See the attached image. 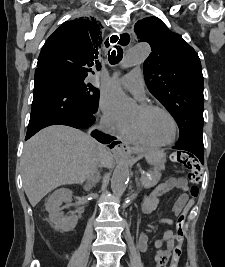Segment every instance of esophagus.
I'll list each match as a JSON object with an SVG mask.
<instances>
[{"instance_id":"obj_1","label":"esophagus","mask_w":225,"mask_h":267,"mask_svg":"<svg viewBox=\"0 0 225 267\" xmlns=\"http://www.w3.org/2000/svg\"><path fill=\"white\" fill-rule=\"evenodd\" d=\"M114 35L118 36V43L120 41V37H122V35H125L124 37V42L123 44H120L122 47L126 48L130 45L131 43V36H130V33L128 31H123L121 33V35L117 34V33H113L110 35L109 37V43L112 44V41H114ZM130 39H128V36ZM129 151V146L126 142L124 141H121L119 145H117L115 148H114V153L117 154V155H123V154H126L127 152Z\"/></svg>"}]
</instances>
